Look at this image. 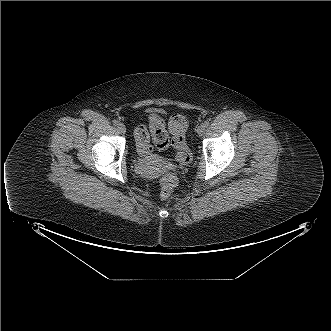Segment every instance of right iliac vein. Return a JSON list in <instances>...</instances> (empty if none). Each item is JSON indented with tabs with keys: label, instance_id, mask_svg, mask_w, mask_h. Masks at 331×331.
Masks as SVG:
<instances>
[{
	"label": "right iliac vein",
	"instance_id": "63e3f726",
	"mask_svg": "<svg viewBox=\"0 0 331 331\" xmlns=\"http://www.w3.org/2000/svg\"><path fill=\"white\" fill-rule=\"evenodd\" d=\"M117 129L122 134H125L126 133V126L123 123H119L117 125Z\"/></svg>",
	"mask_w": 331,
	"mask_h": 331
}]
</instances>
